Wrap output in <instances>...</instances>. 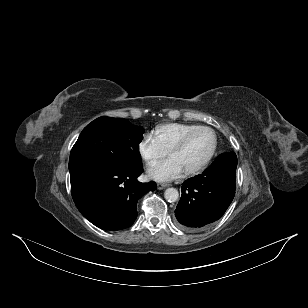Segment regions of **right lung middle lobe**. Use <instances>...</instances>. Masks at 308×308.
I'll return each instance as SVG.
<instances>
[{
	"label": "right lung middle lobe",
	"instance_id": "1",
	"mask_svg": "<svg viewBox=\"0 0 308 308\" xmlns=\"http://www.w3.org/2000/svg\"><path fill=\"white\" fill-rule=\"evenodd\" d=\"M144 129L126 119L100 117L88 124L74 144L69 171L85 168L134 169L141 167L139 143Z\"/></svg>",
	"mask_w": 308,
	"mask_h": 308
}]
</instances>
